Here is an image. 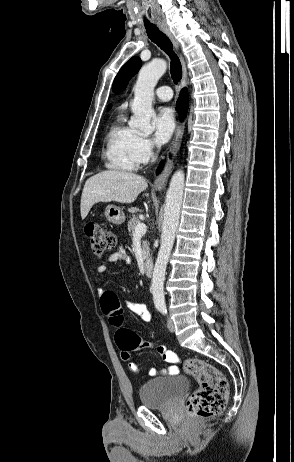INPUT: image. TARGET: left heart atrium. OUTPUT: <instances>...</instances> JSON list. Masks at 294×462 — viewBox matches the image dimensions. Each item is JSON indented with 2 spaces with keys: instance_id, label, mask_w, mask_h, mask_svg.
<instances>
[{
  "instance_id": "left-heart-atrium-1",
  "label": "left heart atrium",
  "mask_w": 294,
  "mask_h": 462,
  "mask_svg": "<svg viewBox=\"0 0 294 462\" xmlns=\"http://www.w3.org/2000/svg\"><path fill=\"white\" fill-rule=\"evenodd\" d=\"M175 115L171 108L159 109L154 117L156 139L159 143H166L175 130Z\"/></svg>"
}]
</instances>
